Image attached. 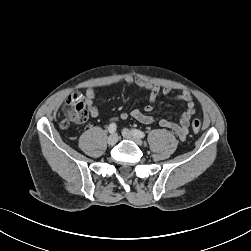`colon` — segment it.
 I'll return each instance as SVG.
<instances>
[{
	"instance_id": "1",
	"label": "colon",
	"mask_w": 251,
	"mask_h": 251,
	"mask_svg": "<svg viewBox=\"0 0 251 251\" xmlns=\"http://www.w3.org/2000/svg\"><path fill=\"white\" fill-rule=\"evenodd\" d=\"M66 118L62 120L61 126L67 128L71 122L82 123L88 117L87 109L84 105V98L81 93H73L69 95L64 106ZM202 123L199 119L192 121V129L194 132L201 130Z\"/></svg>"
}]
</instances>
